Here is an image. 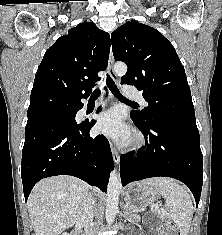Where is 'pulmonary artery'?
Returning a JSON list of instances; mask_svg holds the SVG:
<instances>
[{
    "instance_id": "obj_1",
    "label": "pulmonary artery",
    "mask_w": 222,
    "mask_h": 235,
    "mask_svg": "<svg viewBox=\"0 0 222 235\" xmlns=\"http://www.w3.org/2000/svg\"><path fill=\"white\" fill-rule=\"evenodd\" d=\"M123 94L129 98H132V99L140 102L143 106L147 105V103L144 100V98L142 97L141 93L135 88L126 86L123 88Z\"/></svg>"
}]
</instances>
